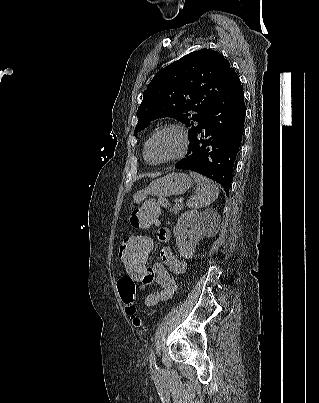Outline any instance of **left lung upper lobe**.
Segmentation results:
<instances>
[{"instance_id":"obj_1","label":"left lung upper lobe","mask_w":319,"mask_h":403,"mask_svg":"<svg viewBox=\"0 0 319 403\" xmlns=\"http://www.w3.org/2000/svg\"><path fill=\"white\" fill-rule=\"evenodd\" d=\"M230 70L229 61L211 49L192 52L171 63L144 91L134 132L144 129L152 120L168 116L190 127L191 139Z\"/></svg>"}]
</instances>
